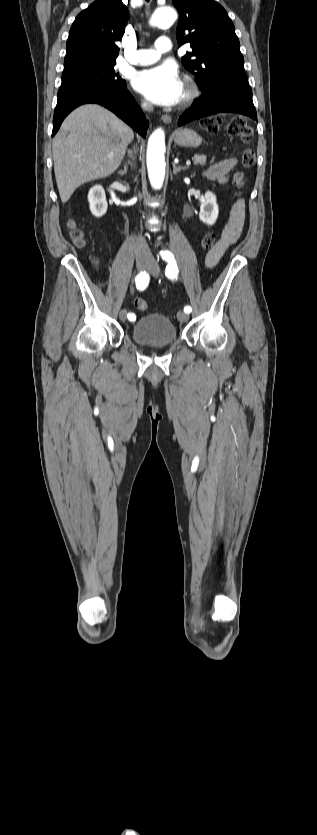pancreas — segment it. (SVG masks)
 Listing matches in <instances>:
<instances>
[{
	"instance_id": "obj_1",
	"label": "pancreas",
	"mask_w": 317,
	"mask_h": 835,
	"mask_svg": "<svg viewBox=\"0 0 317 835\" xmlns=\"http://www.w3.org/2000/svg\"><path fill=\"white\" fill-rule=\"evenodd\" d=\"M193 160H194V164H199L201 166L206 164V156L203 155V154L194 155Z\"/></svg>"
}]
</instances>
